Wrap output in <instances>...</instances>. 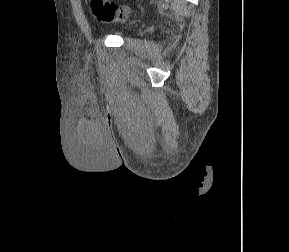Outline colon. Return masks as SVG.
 Wrapping results in <instances>:
<instances>
[{
  "label": "colon",
  "mask_w": 289,
  "mask_h": 252,
  "mask_svg": "<svg viewBox=\"0 0 289 252\" xmlns=\"http://www.w3.org/2000/svg\"><path fill=\"white\" fill-rule=\"evenodd\" d=\"M88 5L94 18L103 23L118 22L130 14L127 7L118 6L109 0H88Z\"/></svg>",
  "instance_id": "obj_1"
}]
</instances>
